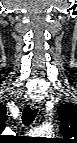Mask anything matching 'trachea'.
Returning <instances> with one entry per match:
<instances>
[{
    "mask_svg": "<svg viewBox=\"0 0 77 143\" xmlns=\"http://www.w3.org/2000/svg\"><path fill=\"white\" fill-rule=\"evenodd\" d=\"M38 109L30 108V106H26L23 114H22V123L25 126H29L33 123L36 115H37Z\"/></svg>",
    "mask_w": 77,
    "mask_h": 143,
    "instance_id": "trachea-1",
    "label": "trachea"
}]
</instances>
